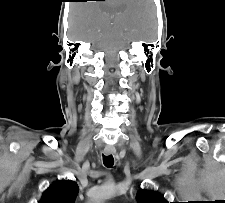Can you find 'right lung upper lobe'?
Masks as SVG:
<instances>
[{"label":"right lung upper lobe","instance_id":"1","mask_svg":"<svg viewBox=\"0 0 225 203\" xmlns=\"http://www.w3.org/2000/svg\"><path fill=\"white\" fill-rule=\"evenodd\" d=\"M78 190L74 181H57L45 190L39 203H74Z\"/></svg>","mask_w":225,"mask_h":203}]
</instances>
